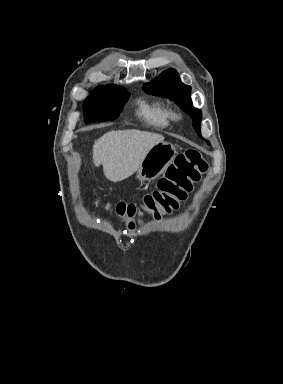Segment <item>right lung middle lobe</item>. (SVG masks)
<instances>
[{
	"instance_id": "right-lung-middle-lobe-1",
	"label": "right lung middle lobe",
	"mask_w": 283,
	"mask_h": 384,
	"mask_svg": "<svg viewBox=\"0 0 283 384\" xmlns=\"http://www.w3.org/2000/svg\"><path fill=\"white\" fill-rule=\"evenodd\" d=\"M84 102V120L92 122L112 121L121 112L130 94L119 86L96 88Z\"/></svg>"
}]
</instances>
